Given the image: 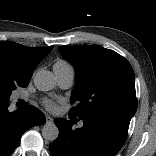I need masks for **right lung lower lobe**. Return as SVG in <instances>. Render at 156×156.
Returning <instances> with one entry per match:
<instances>
[{
	"label": "right lung lower lobe",
	"instance_id": "obj_1",
	"mask_svg": "<svg viewBox=\"0 0 156 156\" xmlns=\"http://www.w3.org/2000/svg\"><path fill=\"white\" fill-rule=\"evenodd\" d=\"M45 123L44 114L33 106L21 112H9L8 100H0V156L11 154L22 134Z\"/></svg>",
	"mask_w": 156,
	"mask_h": 156
}]
</instances>
